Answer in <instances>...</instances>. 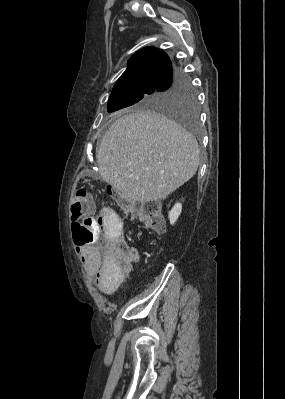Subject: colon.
Returning a JSON list of instances; mask_svg holds the SVG:
<instances>
[{
	"mask_svg": "<svg viewBox=\"0 0 285 399\" xmlns=\"http://www.w3.org/2000/svg\"><path fill=\"white\" fill-rule=\"evenodd\" d=\"M108 194L112 197H119L115 191H109ZM121 205L129 213L137 215L151 229L157 231L164 230L165 220L159 202L147 201L139 205L128 200H121ZM93 209L94 202L92 194L85 188H77L70 208L73 214L71 230L75 242L84 244L86 242L99 241L94 231H87L85 229V226H88L93 220ZM81 231L86 232V237H81ZM106 249L107 256L112 259L117 272L121 275H128L131 271L134 255L131 248L123 242L120 234L110 241Z\"/></svg>",
	"mask_w": 285,
	"mask_h": 399,
	"instance_id": "1",
	"label": "colon"
}]
</instances>
